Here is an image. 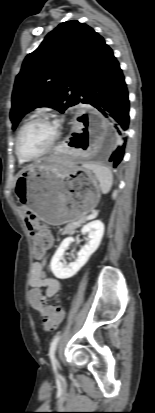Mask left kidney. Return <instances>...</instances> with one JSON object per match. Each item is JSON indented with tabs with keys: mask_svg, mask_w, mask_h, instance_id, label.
Listing matches in <instances>:
<instances>
[{
	"mask_svg": "<svg viewBox=\"0 0 155 413\" xmlns=\"http://www.w3.org/2000/svg\"><path fill=\"white\" fill-rule=\"evenodd\" d=\"M82 234H88V242L81 248L77 259L69 264L61 262L65 251L74 241L73 237L65 238L51 260V270L58 279H68L74 276L89 260L90 256L98 249L104 234V224L100 220L89 222L81 229Z\"/></svg>",
	"mask_w": 155,
	"mask_h": 413,
	"instance_id": "1",
	"label": "left kidney"
}]
</instances>
